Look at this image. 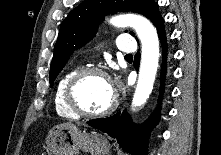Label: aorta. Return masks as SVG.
I'll list each match as a JSON object with an SVG mask.
<instances>
[{
	"label": "aorta",
	"instance_id": "obj_1",
	"mask_svg": "<svg viewBox=\"0 0 221 155\" xmlns=\"http://www.w3.org/2000/svg\"><path fill=\"white\" fill-rule=\"evenodd\" d=\"M110 22L116 27H132L142 44L138 82L132 100V107L136 108L146 103L153 89L159 61L158 35L152 23L137 14L116 16Z\"/></svg>",
	"mask_w": 221,
	"mask_h": 155
}]
</instances>
